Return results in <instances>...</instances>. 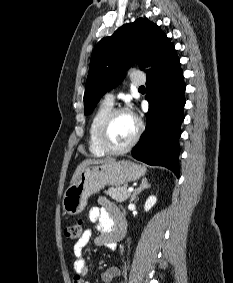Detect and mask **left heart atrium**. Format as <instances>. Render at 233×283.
<instances>
[{
  "label": "left heart atrium",
  "mask_w": 233,
  "mask_h": 283,
  "mask_svg": "<svg viewBox=\"0 0 233 283\" xmlns=\"http://www.w3.org/2000/svg\"><path fill=\"white\" fill-rule=\"evenodd\" d=\"M134 118H135V115L133 113H130Z\"/></svg>",
  "instance_id": "left-heart-atrium-1"
}]
</instances>
